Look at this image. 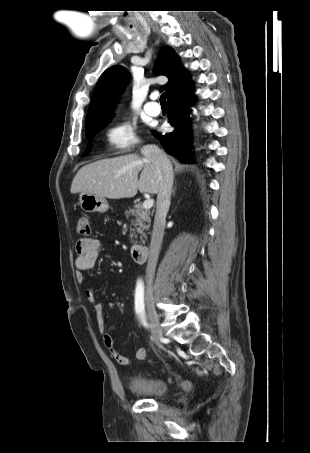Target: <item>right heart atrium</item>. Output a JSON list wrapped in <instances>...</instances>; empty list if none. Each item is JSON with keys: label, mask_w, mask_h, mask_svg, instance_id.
I'll list each match as a JSON object with an SVG mask.
<instances>
[{"label": "right heart atrium", "mask_w": 310, "mask_h": 453, "mask_svg": "<svg viewBox=\"0 0 310 453\" xmlns=\"http://www.w3.org/2000/svg\"><path fill=\"white\" fill-rule=\"evenodd\" d=\"M110 149L116 153H124L134 149L138 143L134 126L127 120L112 124L105 133Z\"/></svg>", "instance_id": "1"}]
</instances>
